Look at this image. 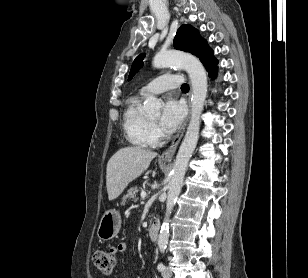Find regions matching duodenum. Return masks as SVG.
Masks as SVG:
<instances>
[{
    "instance_id": "obj_1",
    "label": "duodenum",
    "mask_w": 308,
    "mask_h": 278,
    "mask_svg": "<svg viewBox=\"0 0 308 278\" xmlns=\"http://www.w3.org/2000/svg\"><path fill=\"white\" fill-rule=\"evenodd\" d=\"M159 225L157 223H153L149 230H148V234H149V238L151 241H156L158 239L159 236Z\"/></svg>"
}]
</instances>
